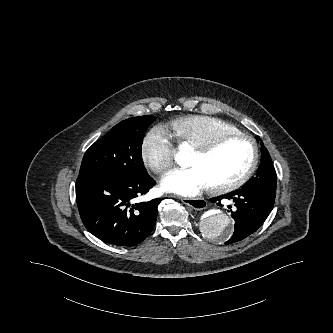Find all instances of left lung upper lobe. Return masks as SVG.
I'll return each mask as SVG.
<instances>
[{"mask_svg":"<svg viewBox=\"0 0 333 333\" xmlns=\"http://www.w3.org/2000/svg\"><path fill=\"white\" fill-rule=\"evenodd\" d=\"M261 144L263 145L262 141ZM261 154V162L256 176L250 178L242 188L261 189L276 193L277 175L266 147H261Z\"/></svg>","mask_w":333,"mask_h":333,"instance_id":"1","label":"left lung upper lobe"}]
</instances>
